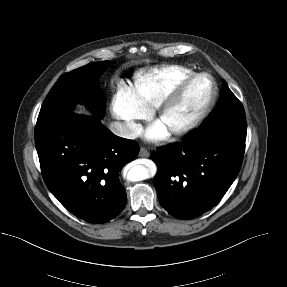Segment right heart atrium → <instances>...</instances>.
<instances>
[{
	"label": "right heart atrium",
	"mask_w": 287,
	"mask_h": 287,
	"mask_svg": "<svg viewBox=\"0 0 287 287\" xmlns=\"http://www.w3.org/2000/svg\"><path fill=\"white\" fill-rule=\"evenodd\" d=\"M110 109L113 117L122 122L123 134L126 137L134 136L139 129V121L148 115L140 106L131 87L125 84L117 88Z\"/></svg>",
	"instance_id": "d8ad5b80"
}]
</instances>
